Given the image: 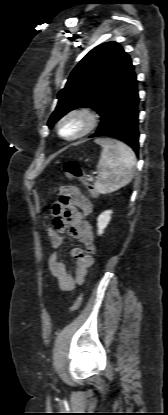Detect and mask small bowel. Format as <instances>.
I'll return each mask as SVG.
<instances>
[{
  "instance_id": "obj_1",
  "label": "small bowel",
  "mask_w": 168,
  "mask_h": 415,
  "mask_svg": "<svg viewBox=\"0 0 168 415\" xmlns=\"http://www.w3.org/2000/svg\"><path fill=\"white\" fill-rule=\"evenodd\" d=\"M54 195L59 197V200L52 206L53 224L56 230L47 229L54 252L49 257L47 266L50 273L57 279L60 290L71 292L84 282L96 252L93 229L86 220L92 212V204L77 188L72 186L55 188ZM67 229L83 246V249L71 250V257L76 261L73 274L59 259L57 252L63 241L61 233Z\"/></svg>"
}]
</instances>
